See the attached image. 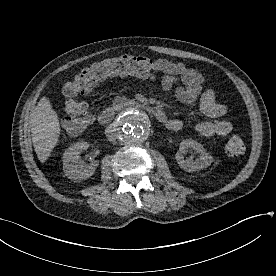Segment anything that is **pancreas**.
Returning a JSON list of instances; mask_svg holds the SVG:
<instances>
[{"label": "pancreas", "mask_w": 276, "mask_h": 276, "mask_svg": "<svg viewBox=\"0 0 276 276\" xmlns=\"http://www.w3.org/2000/svg\"><path fill=\"white\" fill-rule=\"evenodd\" d=\"M134 103H135V101L133 99H129L125 96H123V97L117 96V97H115L112 105H113V107L120 109L124 106L133 105Z\"/></svg>", "instance_id": "cf45deb5"}]
</instances>
